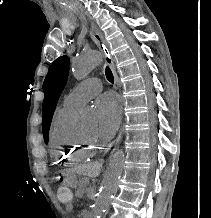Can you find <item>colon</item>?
I'll use <instances>...</instances> for the list:
<instances>
[{"instance_id": "obj_1", "label": "colon", "mask_w": 211, "mask_h": 218, "mask_svg": "<svg viewBox=\"0 0 211 218\" xmlns=\"http://www.w3.org/2000/svg\"><path fill=\"white\" fill-rule=\"evenodd\" d=\"M56 194H57V198H58L59 202H61L63 204L71 203V201L73 199L72 191L66 185H60L57 188V193Z\"/></svg>"}]
</instances>
